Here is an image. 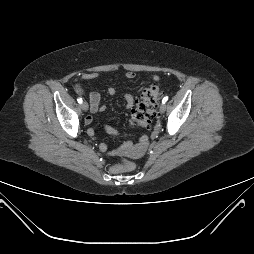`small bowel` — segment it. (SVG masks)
Masks as SVG:
<instances>
[{
    "instance_id": "c3829d8e",
    "label": "small bowel",
    "mask_w": 254,
    "mask_h": 254,
    "mask_svg": "<svg viewBox=\"0 0 254 254\" xmlns=\"http://www.w3.org/2000/svg\"><path fill=\"white\" fill-rule=\"evenodd\" d=\"M125 76L128 79H133L136 76V74H135L134 71L129 70V71L125 72ZM97 77H98V73L94 72V73L84 74L82 76V79L91 80V79H95ZM154 79L158 80V76H154ZM108 93L111 96H115L117 94V90L114 87H110V88H108ZM122 97L125 100L126 108H128V109L133 108V106L135 104V98L131 94H128V93L123 94ZM100 99H101V96H100L99 92L93 91V92L90 93L89 103H90V112L92 114L97 113V112L105 111V107L100 106ZM92 122H93V116L91 114L87 115L85 117V123L87 125H90ZM105 128L111 134H114V135L118 134L117 131L113 127H111L110 125H106ZM87 133L91 137L95 136V131H94L93 128H88ZM145 142H146V139L142 138L139 141L138 144H136V145H133V144L125 145L124 147H122L121 149H118V150H109L108 146L105 143H101L99 145V149L102 152L108 153L109 155H117L122 150H128L130 152H135L136 153V152H139L142 149Z\"/></svg>"
}]
</instances>
